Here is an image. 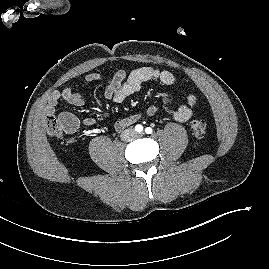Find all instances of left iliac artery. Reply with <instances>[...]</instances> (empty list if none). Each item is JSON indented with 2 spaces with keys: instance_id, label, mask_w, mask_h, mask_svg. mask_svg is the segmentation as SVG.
<instances>
[{
  "instance_id": "left-iliac-artery-1",
  "label": "left iliac artery",
  "mask_w": 269,
  "mask_h": 269,
  "mask_svg": "<svg viewBox=\"0 0 269 269\" xmlns=\"http://www.w3.org/2000/svg\"><path fill=\"white\" fill-rule=\"evenodd\" d=\"M152 131H153V130H152L151 127H147V128L145 129L146 134H151Z\"/></svg>"
}]
</instances>
